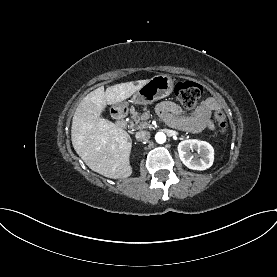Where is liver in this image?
<instances>
[{
  "instance_id": "1",
  "label": "liver",
  "mask_w": 277,
  "mask_h": 277,
  "mask_svg": "<svg viewBox=\"0 0 277 277\" xmlns=\"http://www.w3.org/2000/svg\"><path fill=\"white\" fill-rule=\"evenodd\" d=\"M149 80L101 86L79 103L72 120L71 140L76 153L93 171L112 179L132 174L129 134L100 115L106 105L122 102L136 93Z\"/></svg>"
}]
</instances>
